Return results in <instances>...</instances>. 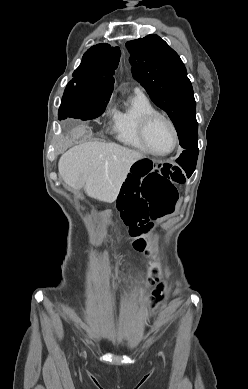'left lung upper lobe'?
I'll return each instance as SVG.
<instances>
[{"label":"left lung upper lobe","mask_w":248,"mask_h":389,"mask_svg":"<svg viewBox=\"0 0 248 389\" xmlns=\"http://www.w3.org/2000/svg\"><path fill=\"white\" fill-rule=\"evenodd\" d=\"M134 78L146 89L152 101L170 117L181 147L194 148L198 137L185 133L183 122L196 114V102L186 68L178 54L159 36L151 34L128 41Z\"/></svg>","instance_id":"obj_1"}]
</instances>
